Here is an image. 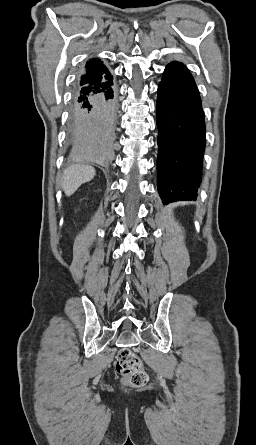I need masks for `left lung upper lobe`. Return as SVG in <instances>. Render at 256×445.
Returning <instances> with one entry per match:
<instances>
[{
  "mask_svg": "<svg viewBox=\"0 0 256 445\" xmlns=\"http://www.w3.org/2000/svg\"><path fill=\"white\" fill-rule=\"evenodd\" d=\"M172 63L177 64V65H180V66H182V67H185L182 63H179V62H176V61H174V62H172ZM185 68H186V67H185Z\"/></svg>",
  "mask_w": 256,
  "mask_h": 445,
  "instance_id": "5c2ea615",
  "label": "left lung upper lobe"
}]
</instances>
